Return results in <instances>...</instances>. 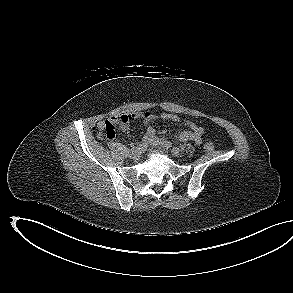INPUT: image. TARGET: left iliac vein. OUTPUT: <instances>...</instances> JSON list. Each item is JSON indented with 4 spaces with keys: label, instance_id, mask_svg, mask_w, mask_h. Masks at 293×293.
<instances>
[{
    "label": "left iliac vein",
    "instance_id": "4c4485c4",
    "mask_svg": "<svg viewBox=\"0 0 293 293\" xmlns=\"http://www.w3.org/2000/svg\"><path fill=\"white\" fill-rule=\"evenodd\" d=\"M171 153L175 157H179L182 154L181 150L177 147L172 148Z\"/></svg>",
    "mask_w": 293,
    "mask_h": 293
}]
</instances>
